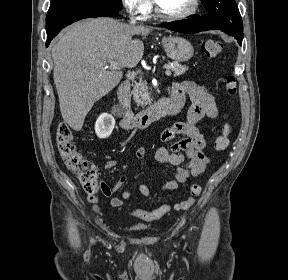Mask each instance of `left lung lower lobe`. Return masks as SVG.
<instances>
[{
    "label": "left lung lower lobe",
    "instance_id": "0a47b994",
    "mask_svg": "<svg viewBox=\"0 0 288 280\" xmlns=\"http://www.w3.org/2000/svg\"><path fill=\"white\" fill-rule=\"evenodd\" d=\"M162 25L170 30L183 33H197L200 31H207V30H221L226 34L232 35L226 32L225 30L220 29L217 25L211 23L208 19L205 18V16H199V15H194L187 20L163 23ZM232 36H234L237 39L238 43L242 45L243 40L242 37H239L237 35Z\"/></svg>",
    "mask_w": 288,
    "mask_h": 280
}]
</instances>
